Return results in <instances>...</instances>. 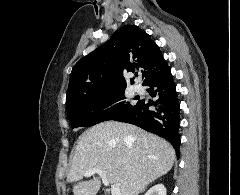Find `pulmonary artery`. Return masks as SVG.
<instances>
[{"mask_svg":"<svg viewBox=\"0 0 240 195\" xmlns=\"http://www.w3.org/2000/svg\"><path fill=\"white\" fill-rule=\"evenodd\" d=\"M134 91L137 92L138 94L144 93V87L141 84H136L134 86Z\"/></svg>","mask_w":240,"mask_h":195,"instance_id":"obj_1","label":"pulmonary artery"}]
</instances>
